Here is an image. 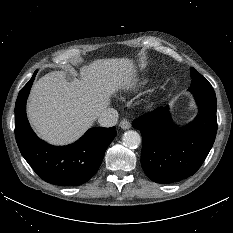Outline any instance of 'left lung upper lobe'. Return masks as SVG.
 <instances>
[{
    "mask_svg": "<svg viewBox=\"0 0 233 233\" xmlns=\"http://www.w3.org/2000/svg\"><path fill=\"white\" fill-rule=\"evenodd\" d=\"M191 87H200V86H207L211 85L199 72H197L193 67L191 68Z\"/></svg>",
    "mask_w": 233,
    "mask_h": 233,
    "instance_id": "5c2ea615",
    "label": "left lung upper lobe"
}]
</instances>
